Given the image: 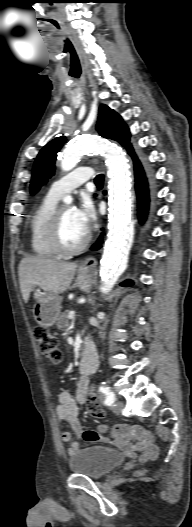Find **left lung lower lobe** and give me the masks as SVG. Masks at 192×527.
<instances>
[{
  "label": "left lung lower lobe",
  "instance_id": "0a47b994",
  "mask_svg": "<svg viewBox=\"0 0 192 527\" xmlns=\"http://www.w3.org/2000/svg\"><path fill=\"white\" fill-rule=\"evenodd\" d=\"M128 152L132 156L134 160V164H135L136 191H137V196H138L139 218L141 221H143L147 214L148 203H149L147 181H146L143 169L141 167V164L139 163L136 155L134 154L133 149L130 148ZM101 242L102 240L101 238H99L98 243L93 245L92 249L100 248ZM132 284L133 282L130 280H127L121 283L122 286H131Z\"/></svg>",
  "mask_w": 192,
  "mask_h": 527
}]
</instances>
